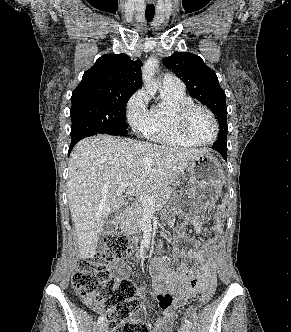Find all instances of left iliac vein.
I'll return each instance as SVG.
<instances>
[{"mask_svg":"<svg viewBox=\"0 0 291 332\" xmlns=\"http://www.w3.org/2000/svg\"><path fill=\"white\" fill-rule=\"evenodd\" d=\"M179 332H191L190 331V328L189 326H187L186 324L185 325H182Z\"/></svg>","mask_w":291,"mask_h":332,"instance_id":"1","label":"left iliac vein"}]
</instances>
